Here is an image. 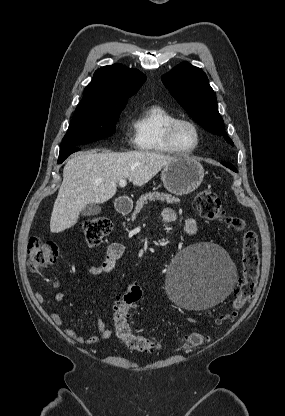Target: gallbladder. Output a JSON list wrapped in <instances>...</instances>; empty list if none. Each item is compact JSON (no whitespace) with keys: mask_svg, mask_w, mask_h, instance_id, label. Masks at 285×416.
Returning a JSON list of instances; mask_svg holds the SVG:
<instances>
[{"mask_svg":"<svg viewBox=\"0 0 285 416\" xmlns=\"http://www.w3.org/2000/svg\"><path fill=\"white\" fill-rule=\"evenodd\" d=\"M101 208L99 204H88L84 210L81 212V216H96V214H100Z\"/></svg>","mask_w":285,"mask_h":416,"instance_id":"1","label":"gallbladder"}]
</instances>
